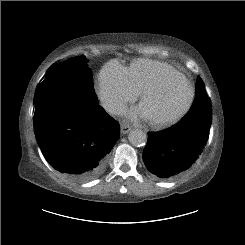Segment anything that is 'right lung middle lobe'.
Wrapping results in <instances>:
<instances>
[{
	"label": "right lung middle lobe",
	"mask_w": 245,
	"mask_h": 245,
	"mask_svg": "<svg viewBox=\"0 0 245 245\" xmlns=\"http://www.w3.org/2000/svg\"><path fill=\"white\" fill-rule=\"evenodd\" d=\"M96 106L98 102L87 60L84 56L74 57L53 67L40 84L35 124L63 110Z\"/></svg>",
	"instance_id": "dd1d6c3e"
}]
</instances>
